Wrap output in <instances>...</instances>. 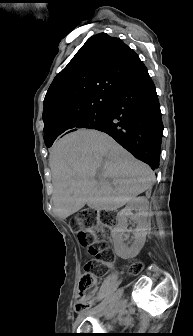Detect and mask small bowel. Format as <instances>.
I'll list each match as a JSON object with an SVG mask.
<instances>
[{
	"label": "small bowel",
	"mask_w": 193,
	"mask_h": 336,
	"mask_svg": "<svg viewBox=\"0 0 193 336\" xmlns=\"http://www.w3.org/2000/svg\"><path fill=\"white\" fill-rule=\"evenodd\" d=\"M104 266H106V267H110V264H109V263H106V264H104ZM97 292H98L97 289H93V290L91 291V293L89 294V299L86 300V301H87L88 303H90V300H93V299L96 297Z\"/></svg>",
	"instance_id": "1"
}]
</instances>
